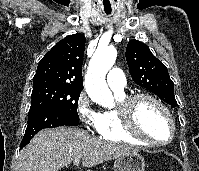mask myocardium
Instances as JSON below:
<instances>
[{
  "label": "myocardium",
  "mask_w": 199,
  "mask_h": 171,
  "mask_svg": "<svg viewBox=\"0 0 199 171\" xmlns=\"http://www.w3.org/2000/svg\"><path fill=\"white\" fill-rule=\"evenodd\" d=\"M147 99L154 102L157 106H159L163 112L165 113L168 122L171 127V135L167 141L157 142L149 137H147L138 127L137 119H136V108L139 101ZM118 111L122 117V123L125 131L131 136L143 141L144 143L154 146V147H162L170 144L176 135V126L174 118L168 109V107L164 104V102L159 99L157 96L146 93V92H138L125 96V98L119 102Z\"/></svg>",
  "instance_id": "f54148a6"
}]
</instances>
